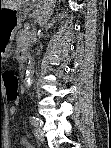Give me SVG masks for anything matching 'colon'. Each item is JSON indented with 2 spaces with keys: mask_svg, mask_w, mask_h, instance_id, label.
<instances>
[{
  "mask_svg": "<svg viewBox=\"0 0 111 148\" xmlns=\"http://www.w3.org/2000/svg\"><path fill=\"white\" fill-rule=\"evenodd\" d=\"M0 80L5 88V95L9 101H16L19 98L20 82L18 77L9 70L1 71Z\"/></svg>",
  "mask_w": 111,
  "mask_h": 148,
  "instance_id": "1",
  "label": "colon"
}]
</instances>
